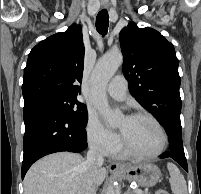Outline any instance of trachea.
Returning a JSON list of instances; mask_svg holds the SVG:
<instances>
[{
	"mask_svg": "<svg viewBox=\"0 0 201 194\" xmlns=\"http://www.w3.org/2000/svg\"><path fill=\"white\" fill-rule=\"evenodd\" d=\"M109 26V15L106 9H102L96 18V29L99 34L105 36Z\"/></svg>",
	"mask_w": 201,
	"mask_h": 194,
	"instance_id": "obj_1",
	"label": "trachea"
}]
</instances>
